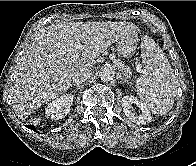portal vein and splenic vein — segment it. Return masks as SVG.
<instances>
[{
  "label": "portal vein and splenic vein",
  "mask_w": 196,
  "mask_h": 166,
  "mask_svg": "<svg viewBox=\"0 0 196 166\" xmlns=\"http://www.w3.org/2000/svg\"><path fill=\"white\" fill-rule=\"evenodd\" d=\"M82 46L80 45L79 46V49H81ZM74 59H77L79 58V53H76L74 56H73ZM142 68L141 64L137 65V70H140Z\"/></svg>",
  "instance_id": "portal-vein-and-splenic-vein-1"
}]
</instances>
